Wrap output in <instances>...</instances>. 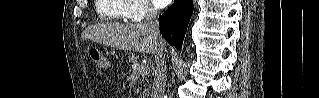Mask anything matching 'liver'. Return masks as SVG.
<instances>
[{
	"mask_svg": "<svg viewBox=\"0 0 319 98\" xmlns=\"http://www.w3.org/2000/svg\"><path fill=\"white\" fill-rule=\"evenodd\" d=\"M83 37L99 44L142 54H154L156 51V42L143 24H95L83 31Z\"/></svg>",
	"mask_w": 319,
	"mask_h": 98,
	"instance_id": "6515ba94",
	"label": "liver"
}]
</instances>
